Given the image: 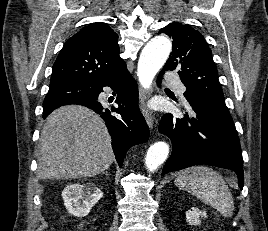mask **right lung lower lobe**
<instances>
[{"label": "right lung lower lobe", "mask_w": 268, "mask_h": 231, "mask_svg": "<svg viewBox=\"0 0 268 231\" xmlns=\"http://www.w3.org/2000/svg\"><path fill=\"white\" fill-rule=\"evenodd\" d=\"M111 87L117 93L115 100L118 107L98 101L103 87ZM91 95L87 98L71 100L50 109H43L45 119L54 109L68 104H79L92 109L105 121L112 138V148L119 166H122L127 150L136 144L146 142L149 129L138 108V87L127 70L126 64L102 81L90 87ZM118 113L122 118H116Z\"/></svg>", "instance_id": "1"}]
</instances>
